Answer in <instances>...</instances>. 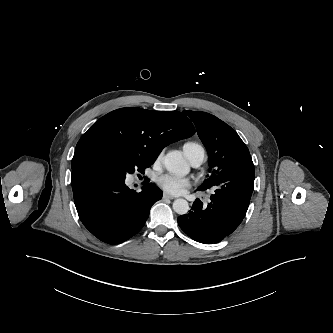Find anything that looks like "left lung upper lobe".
Here are the masks:
<instances>
[{
    "label": "left lung upper lobe",
    "mask_w": 333,
    "mask_h": 333,
    "mask_svg": "<svg viewBox=\"0 0 333 333\" xmlns=\"http://www.w3.org/2000/svg\"><path fill=\"white\" fill-rule=\"evenodd\" d=\"M184 113L195 124L198 136L209 154V174L200 190L217 188L218 175L229 166H232L230 171L236 174L235 162L251 157L249 150L238 134L217 117L201 111H184Z\"/></svg>",
    "instance_id": "left-lung-upper-lobe-1"
}]
</instances>
